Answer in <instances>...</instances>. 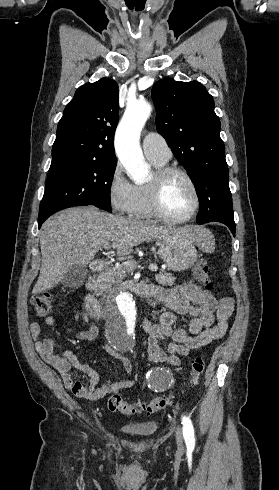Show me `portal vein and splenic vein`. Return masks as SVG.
Listing matches in <instances>:
<instances>
[{
	"instance_id": "18ae733b",
	"label": "portal vein and splenic vein",
	"mask_w": 279,
	"mask_h": 490,
	"mask_svg": "<svg viewBox=\"0 0 279 490\" xmlns=\"http://www.w3.org/2000/svg\"><path fill=\"white\" fill-rule=\"evenodd\" d=\"M110 244H104L103 248H105V250H107V248H109ZM127 266H132V264H134V262H126ZM149 270H151V272H157L158 268L157 266H154V264H150L149 266Z\"/></svg>"
}]
</instances>
